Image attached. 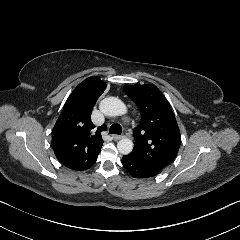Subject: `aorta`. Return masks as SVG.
I'll list each match as a JSON object with an SVG mask.
<instances>
[{"instance_id": "1", "label": "aorta", "mask_w": 240, "mask_h": 240, "mask_svg": "<svg viewBox=\"0 0 240 240\" xmlns=\"http://www.w3.org/2000/svg\"><path fill=\"white\" fill-rule=\"evenodd\" d=\"M99 110L105 116H121L126 113V106L116 97H106L101 100ZM117 149L121 154L127 155L133 149V142L128 138H123L117 143Z\"/></svg>"}]
</instances>
